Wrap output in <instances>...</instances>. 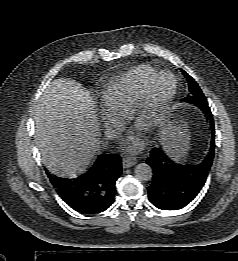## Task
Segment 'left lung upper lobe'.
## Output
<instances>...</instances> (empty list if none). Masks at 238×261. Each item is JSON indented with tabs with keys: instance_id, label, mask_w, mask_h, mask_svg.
Masks as SVG:
<instances>
[{
	"instance_id": "left-lung-upper-lobe-1",
	"label": "left lung upper lobe",
	"mask_w": 238,
	"mask_h": 261,
	"mask_svg": "<svg viewBox=\"0 0 238 261\" xmlns=\"http://www.w3.org/2000/svg\"><path fill=\"white\" fill-rule=\"evenodd\" d=\"M182 73L185 75L188 81L189 90L191 92V95L186 97L184 100L188 103H192L195 105H208L207 100L201 91L199 85L195 82V80L188 75L184 70L180 69Z\"/></svg>"
}]
</instances>
